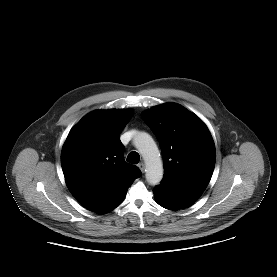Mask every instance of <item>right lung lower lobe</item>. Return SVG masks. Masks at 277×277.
Here are the masks:
<instances>
[{"label": "right lung lower lobe", "instance_id": "98d812e1", "mask_svg": "<svg viewBox=\"0 0 277 277\" xmlns=\"http://www.w3.org/2000/svg\"><path fill=\"white\" fill-rule=\"evenodd\" d=\"M126 193H127V191L117 201H115L110 207H108L106 210L101 212V214L107 213V212L113 210L114 208H116L118 205H120L122 203V201L124 200Z\"/></svg>", "mask_w": 277, "mask_h": 277}]
</instances>
